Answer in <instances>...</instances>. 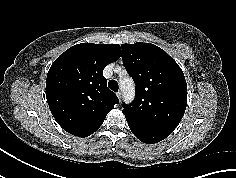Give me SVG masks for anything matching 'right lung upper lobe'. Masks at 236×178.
Masks as SVG:
<instances>
[{
    "instance_id": "cb5924a9",
    "label": "right lung upper lobe",
    "mask_w": 236,
    "mask_h": 178,
    "mask_svg": "<svg viewBox=\"0 0 236 178\" xmlns=\"http://www.w3.org/2000/svg\"><path fill=\"white\" fill-rule=\"evenodd\" d=\"M120 55L118 44L81 43L54 61L47 74L46 98L65 131L78 137L91 135L119 102L102 72Z\"/></svg>"
}]
</instances>
